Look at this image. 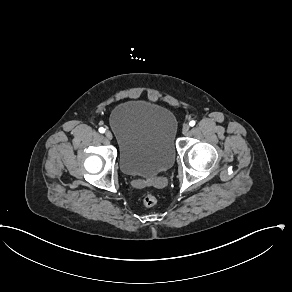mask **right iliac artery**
<instances>
[{"label": "right iliac artery", "instance_id": "right-iliac-artery-1", "mask_svg": "<svg viewBox=\"0 0 292 292\" xmlns=\"http://www.w3.org/2000/svg\"><path fill=\"white\" fill-rule=\"evenodd\" d=\"M99 132H100V133H104V132H105V129H104L103 127H100V128H99Z\"/></svg>", "mask_w": 292, "mask_h": 292}]
</instances>
